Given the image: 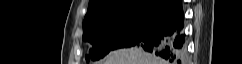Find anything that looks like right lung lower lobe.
<instances>
[{"label":"right lung lower lobe","mask_w":242,"mask_h":64,"mask_svg":"<svg viewBox=\"0 0 242 64\" xmlns=\"http://www.w3.org/2000/svg\"><path fill=\"white\" fill-rule=\"evenodd\" d=\"M136 46L172 64L185 63L184 13L181 0L175 1L163 13L155 27Z\"/></svg>","instance_id":"1"}]
</instances>
